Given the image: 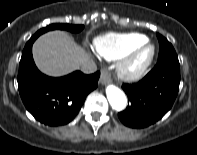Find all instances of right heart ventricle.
Segmentation results:
<instances>
[{
    "instance_id": "1",
    "label": "right heart ventricle",
    "mask_w": 197,
    "mask_h": 155,
    "mask_svg": "<svg viewBox=\"0 0 197 155\" xmlns=\"http://www.w3.org/2000/svg\"><path fill=\"white\" fill-rule=\"evenodd\" d=\"M146 40L147 37L139 33H109L97 37L94 40V48L105 59L116 60Z\"/></svg>"
}]
</instances>
